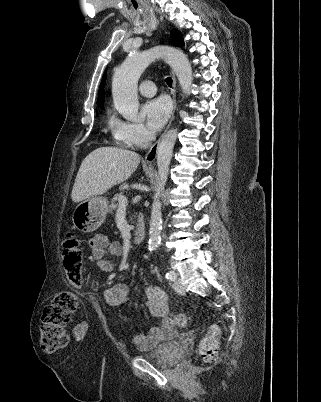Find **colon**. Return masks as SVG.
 <instances>
[{
  "label": "colon",
  "instance_id": "5ec220e1",
  "mask_svg": "<svg viewBox=\"0 0 321 402\" xmlns=\"http://www.w3.org/2000/svg\"><path fill=\"white\" fill-rule=\"evenodd\" d=\"M63 265L68 283L76 292L83 290L82 266L83 255L80 239L74 234H68L63 241ZM78 307V298L71 291H62L54 296L45 307L40 324V342L42 349L53 353L67 346L69 337L66 326ZM178 326L187 324L184 314L174 316ZM220 329L212 326L209 333L199 344V353L206 362L216 360L218 356Z\"/></svg>",
  "mask_w": 321,
  "mask_h": 402
}]
</instances>
